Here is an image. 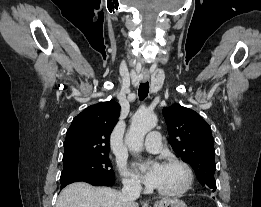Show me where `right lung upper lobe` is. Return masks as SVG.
I'll use <instances>...</instances> for the list:
<instances>
[{
  "label": "right lung upper lobe",
  "mask_w": 261,
  "mask_h": 207,
  "mask_svg": "<svg viewBox=\"0 0 261 207\" xmlns=\"http://www.w3.org/2000/svg\"><path fill=\"white\" fill-rule=\"evenodd\" d=\"M120 115L115 101L100 102L78 114L67 130L63 161L109 154V138Z\"/></svg>",
  "instance_id": "1"
}]
</instances>
